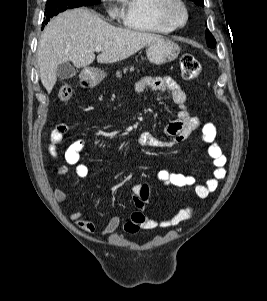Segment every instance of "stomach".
Masks as SVG:
<instances>
[{"label":"stomach","mask_w":267,"mask_h":301,"mask_svg":"<svg viewBox=\"0 0 267 301\" xmlns=\"http://www.w3.org/2000/svg\"><path fill=\"white\" fill-rule=\"evenodd\" d=\"M179 53L180 47L177 43L163 38L147 45L146 49L148 60L156 65L174 61ZM87 76L92 84H98L106 77V73L99 69H89Z\"/></svg>","instance_id":"obj_1"}]
</instances>
